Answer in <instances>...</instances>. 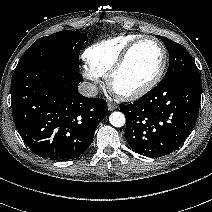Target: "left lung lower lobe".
<instances>
[{"label":"left lung lower lobe","mask_w":212,"mask_h":212,"mask_svg":"<svg viewBox=\"0 0 212 212\" xmlns=\"http://www.w3.org/2000/svg\"><path fill=\"white\" fill-rule=\"evenodd\" d=\"M201 88V77L196 69L158 84L133 104L121 106L130 147L147 157L175 151L197 120Z\"/></svg>","instance_id":"1"}]
</instances>
